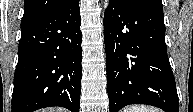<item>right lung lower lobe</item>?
<instances>
[{"label":"right lung lower lobe","mask_w":193,"mask_h":112,"mask_svg":"<svg viewBox=\"0 0 193 112\" xmlns=\"http://www.w3.org/2000/svg\"><path fill=\"white\" fill-rule=\"evenodd\" d=\"M79 0L21 26L12 112L61 106L79 112L82 33Z\"/></svg>","instance_id":"right-lung-lower-lobe-1"}]
</instances>
